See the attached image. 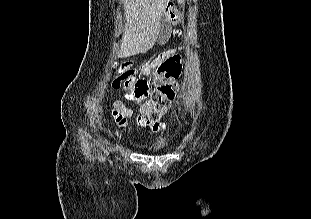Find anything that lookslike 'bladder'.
Listing matches in <instances>:
<instances>
[{
    "label": "bladder",
    "instance_id": "obj_1",
    "mask_svg": "<svg viewBox=\"0 0 311 219\" xmlns=\"http://www.w3.org/2000/svg\"><path fill=\"white\" fill-rule=\"evenodd\" d=\"M166 148L165 147H160V146H157V147H154L152 149V152L153 153H160V152H163Z\"/></svg>",
    "mask_w": 311,
    "mask_h": 219
}]
</instances>
